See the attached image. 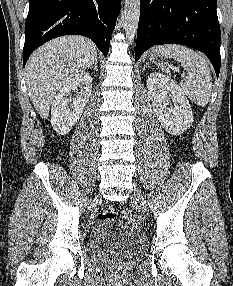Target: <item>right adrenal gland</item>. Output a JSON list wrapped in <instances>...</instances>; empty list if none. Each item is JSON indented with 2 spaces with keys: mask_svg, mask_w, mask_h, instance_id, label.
<instances>
[{
  "mask_svg": "<svg viewBox=\"0 0 233 286\" xmlns=\"http://www.w3.org/2000/svg\"><path fill=\"white\" fill-rule=\"evenodd\" d=\"M98 58L95 59L94 63L89 68H94L95 71L98 70Z\"/></svg>",
  "mask_w": 233,
  "mask_h": 286,
  "instance_id": "obj_1",
  "label": "right adrenal gland"
}]
</instances>
